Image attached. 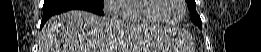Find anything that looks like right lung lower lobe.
I'll use <instances>...</instances> for the list:
<instances>
[{"instance_id": "98d812e1", "label": "right lung lower lobe", "mask_w": 261, "mask_h": 52, "mask_svg": "<svg viewBox=\"0 0 261 52\" xmlns=\"http://www.w3.org/2000/svg\"><path fill=\"white\" fill-rule=\"evenodd\" d=\"M71 9H81L93 12L98 15H104L102 9H97L91 6L83 5L73 0H45L43 6V18L40 27H42L48 20V18H50L54 14L65 12Z\"/></svg>"}]
</instances>
